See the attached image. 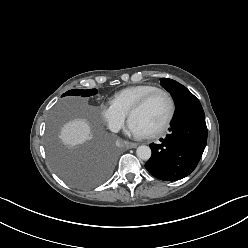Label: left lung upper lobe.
Masks as SVG:
<instances>
[{"instance_id":"left-lung-upper-lobe-1","label":"left lung upper lobe","mask_w":248,"mask_h":248,"mask_svg":"<svg viewBox=\"0 0 248 248\" xmlns=\"http://www.w3.org/2000/svg\"><path fill=\"white\" fill-rule=\"evenodd\" d=\"M161 85L170 92L175 105L177 106L183 100V98L191 94V92L182 84L168 78H161Z\"/></svg>"}]
</instances>
